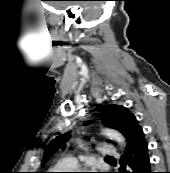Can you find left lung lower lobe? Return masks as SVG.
Wrapping results in <instances>:
<instances>
[{
    "label": "left lung lower lobe",
    "instance_id": "left-lung-lower-lobe-1",
    "mask_svg": "<svg viewBox=\"0 0 170 173\" xmlns=\"http://www.w3.org/2000/svg\"><path fill=\"white\" fill-rule=\"evenodd\" d=\"M119 173H152L148 157V144L143 141L125 151Z\"/></svg>",
    "mask_w": 170,
    "mask_h": 173
}]
</instances>
